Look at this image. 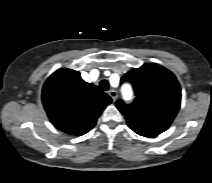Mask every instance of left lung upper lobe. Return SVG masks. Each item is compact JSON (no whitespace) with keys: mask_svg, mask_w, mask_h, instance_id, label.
<instances>
[{"mask_svg":"<svg viewBox=\"0 0 212 183\" xmlns=\"http://www.w3.org/2000/svg\"><path fill=\"white\" fill-rule=\"evenodd\" d=\"M122 81L132 83L136 94L131 105H126L122 100L116 102L128 126L145 137L165 131L181 102V90L174 74L158 64L147 63L127 72Z\"/></svg>","mask_w":212,"mask_h":183,"instance_id":"1","label":"left lung upper lobe"}]
</instances>
